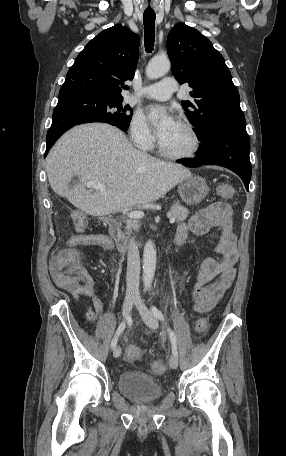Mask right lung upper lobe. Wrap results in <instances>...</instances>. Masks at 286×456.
I'll use <instances>...</instances> for the list:
<instances>
[{"instance_id": "right-lung-upper-lobe-1", "label": "right lung upper lobe", "mask_w": 286, "mask_h": 456, "mask_svg": "<svg viewBox=\"0 0 286 456\" xmlns=\"http://www.w3.org/2000/svg\"><path fill=\"white\" fill-rule=\"evenodd\" d=\"M139 37L115 25L99 33L75 59L62 87H77L98 98L120 100L124 82L132 80L138 61Z\"/></svg>"}]
</instances>
